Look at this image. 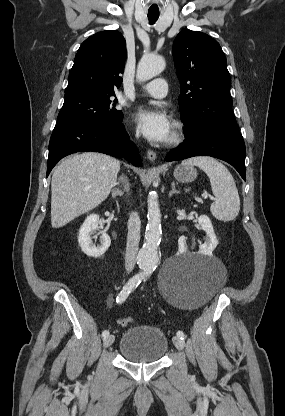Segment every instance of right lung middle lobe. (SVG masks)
Here are the masks:
<instances>
[{"label":"right lung middle lobe","mask_w":285,"mask_h":416,"mask_svg":"<svg viewBox=\"0 0 285 416\" xmlns=\"http://www.w3.org/2000/svg\"><path fill=\"white\" fill-rule=\"evenodd\" d=\"M111 97L65 96L56 125L76 123L117 125L122 123L123 113L115 108L118 101Z\"/></svg>","instance_id":"obj_1"}]
</instances>
